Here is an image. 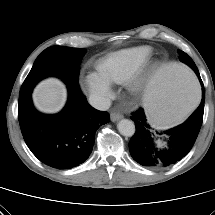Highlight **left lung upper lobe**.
<instances>
[{
    "instance_id": "5c2ea615",
    "label": "left lung upper lobe",
    "mask_w": 215,
    "mask_h": 215,
    "mask_svg": "<svg viewBox=\"0 0 215 215\" xmlns=\"http://www.w3.org/2000/svg\"><path fill=\"white\" fill-rule=\"evenodd\" d=\"M179 53V58L182 62L186 63L187 65H189L194 71L195 73L199 74V71L195 65V63L193 62V60L183 51L178 50Z\"/></svg>"
}]
</instances>
